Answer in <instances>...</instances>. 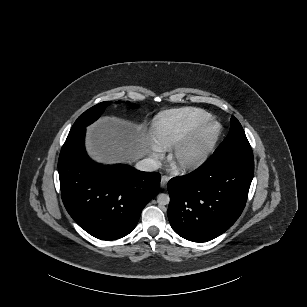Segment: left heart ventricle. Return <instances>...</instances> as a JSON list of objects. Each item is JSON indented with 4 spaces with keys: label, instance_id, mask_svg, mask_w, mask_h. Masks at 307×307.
Segmentation results:
<instances>
[{
    "label": "left heart ventricle",
    "instance_id": "1",
    "mask_svg": "<svg viewBox=\"0 0 307 307\" xmlns=\"http://www.w3.org/2000/svg\"><path fill=\"white\" fill-rule=\"evenodd\" d=\"M219 131V127H214L213 129H212V131H211V134H215V133H217Z\"/></svg>",
    "mask_w": 307,
    "mask_h": 307
}]
</instances>
